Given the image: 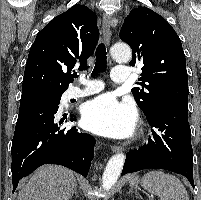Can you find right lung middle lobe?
<instances>
[{
	"instance_id": "1",
	"label": "right lung middle lobe",
	"mask_w": 201,
	"mask_h": 200,
	"mask_svg": "<svg viewBox=\"0 0 201 200\" xmlns=\"http://www.w3.org/2000/svg\"><path fill=\"white\" fill-rule=\"evenodd\" d=\"M61 96L62 94H37L30 96H22L20 100V108L42 103L59 104Z\"/></svg>"
}]
</instances>
